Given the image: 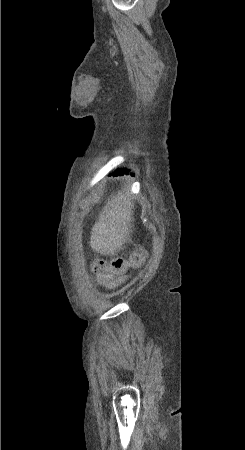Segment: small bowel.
I'll list each match as a JSON object with an SVG mask.
<instances>
[{
	"label": "small bowel",
	"mask_w": 245,
	"mask_h": 450,
	"mask_svg": "<svg viewBox=\"0 0 245 450\" xmlns=\"http://www.w3.org/2000/svg\"><path fill=\"white\" fill-rule=\"evenodd\" d=\"M110 264V263H108ZM125 280V277L121 274L115 273L108 269L97 276V281L108 287H115L121 284Z\"/></svg>",
	"instance_id": "c3829d8e"
}]
</instances>
